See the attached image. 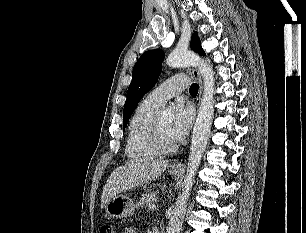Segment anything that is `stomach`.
<instances>
[{
  "label": "stomach",
  "mask_w": 306,
  "mask_h": 233,
  "mask_svg": "<svg viewBox=\"0 0 306 233\" xmlns=\"http://www.w3.org/2000/svg\"><path fill=\"white\" fill-rule=\"evenodd\" d=\"M171 175H178L180 170H170ZM106 213L113 218H127L134 214L135 204L125 195H117L105 205Z\"/></svg>",
  "instance_id": "stomach-1"
}]
</instances>
